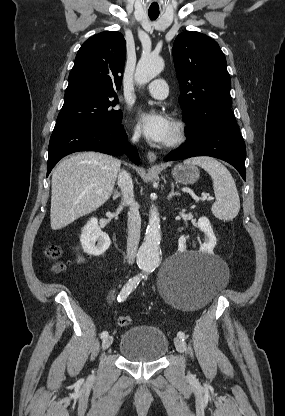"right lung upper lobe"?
<instances>
[{"label":"right lung upper lobe","instance_id":"right-lung-upper-lobe-1","mask_svg":"<svg viewBox=\"0 0 285 416\" xmlns=\"http://www.w3.org/2000/svg\"><path fill=\"white\" fill-rule=\"evenodd\" d=\"M125 59L126 42L120 32L106 31L90 37L76 55L65 96H117Z\"/></svg>","mask_w":285,"mask_h":416}]
</instances>
